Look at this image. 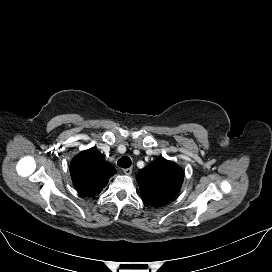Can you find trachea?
<instances>
[{"label":"trachea","instance_id":"3493384b","mask_svg":"<svg viewBox=\"0 0 272 272\" xmlns=\"http://www.w3.org/2000/svg\"><path fill=\"white\" fill-rule=\"evenodd\" d=\"M117 164L121 168H129L131 166V159L128 156H123L118 160Z\"/></svg>","mask_w":272,"mask_h":272}]
</instances>
